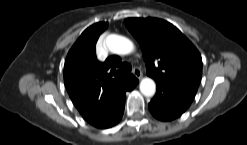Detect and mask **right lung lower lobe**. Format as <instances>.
<instances>
[{"instance_id":"obj_1","label":"right lung lower lobe","mask_w":247,"mask_h":145,"mask_svg":"<svg viewBox=\"0 0 247 145\" xmlns=\"http://www.w3.org/2000/svg\"><path fill=\"white\" fill-rule=\"evenodd\" d=\"M138 83V80L137 78L129 85L128 89L126 91H130L132 89H134V87L137 85ZM124 106H125V100H124V103H123V106L121 108V110L119 111V113L114 116L113 118L101 123L100 125L96 126L98 128H109V127H112L114 125H116L122 118V115H123V112H124Z\"/></svg>"}]
</instances>
